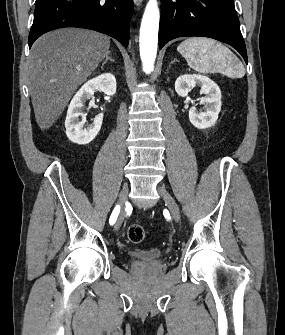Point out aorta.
<instances>
[{
	"label": "aorta",
	"instance_id": "obj_1",
	"mask_svg": "<svg viewBox=\"0 0 285 335\" xmlns=\"http://www.w3.org/2000/svg\"><path fill=\"white\" fill-rule=\"evenodd\" d=\"M159 8L156 0L148 2L140 28V58L143 72L151 74L154 70L158 44Z\"/></svg>",
	"mask_w": 285,
	"mask_h": 335
}]
</instances>
